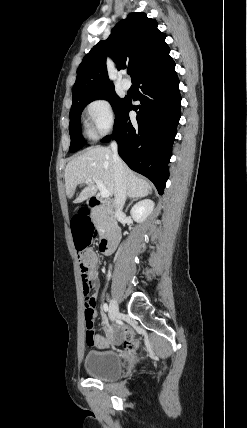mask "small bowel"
I'll use <instances>...</instances> for the list:
<instances>
[{
	"instance_id": "c3829d8e",
	"label": "small bowel",
	"mask_w": 247,
	"mask_h": 428,
	"mask_svg": "<svg viewBox=\"0 0 247 428\" xmlns=\"http://www.w3.org/2000/svg\"><path fill=\"white\" fill-rule=\"evenodd\" d=\"M86 257L89 261V263L95 267V265L97 264V257L95 255V253L92 250L87 251L86 253ZM100 287V282H99V278H98V274L95 271V278L92 282L91 285V290L92 293L89 295L87 301L89 303H91L94 308H95V304H96V299L98 296V290ZM128 335V332L126 330L123 329H118L113 333H109L106 336L103 335H94V340L93 341H88L87 337H86V342L87 345L89 346H96V347H108L110 344H119L121 343V341Z\"/></svg>"
}]
</instances>
